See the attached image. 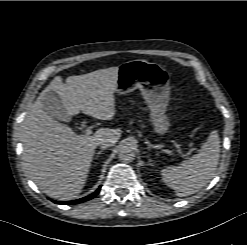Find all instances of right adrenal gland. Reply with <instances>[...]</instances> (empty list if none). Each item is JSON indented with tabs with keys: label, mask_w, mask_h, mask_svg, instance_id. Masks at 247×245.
Instances as JSON below:
<instances>
[{
	"label": "right adrenal gland",
	"mask_w": 247,
	"mask_h": 245,
	"mask_svg": "<svg viewBox=\"0 0 247 245\" xmlns=\"http://www.w3.org/2000/svg\"><path fill=\"white\" fill-rule=\"evenodd\" d=\"M102 152H103V149L100 150V151L97 153V156L95 157V160H97V159L99 158V155L102 154Z\"/></svg>",
	"instance_id": "1"
}]
</instances>
